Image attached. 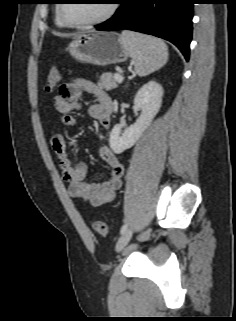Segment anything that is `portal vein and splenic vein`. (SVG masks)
I'll return each mask as SVG.
<instances>
[{"label": "portal vein and splenic vein", "instance_id": "1", "mask_svg": "<svg viewBox=\"0 0 236 321\" xmlns=\"http://www.w3.org/2000/svg\"><path fill=\"white\" fill-rule=\"evenodd\" d=\"M115 79H116L117 83H122V81H123V77L120 74H116Z\"/></svg>", "mask_w": 236, "mask_h": 321}]
</instances>
